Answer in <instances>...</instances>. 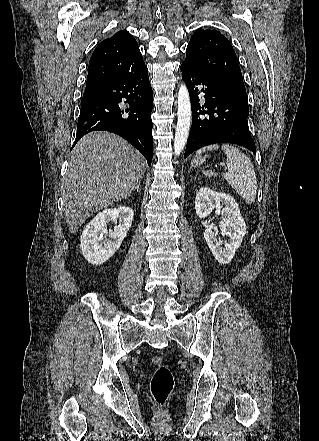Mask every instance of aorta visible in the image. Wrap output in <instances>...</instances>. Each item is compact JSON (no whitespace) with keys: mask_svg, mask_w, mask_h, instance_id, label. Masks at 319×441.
Here are the masks:
<instances>
[{"mask_svg":"<svg viewBox=\"0 0 319 441\" xmlns=\"http://www.w3.org/2000/svg\"><path fill=\"white\" fill-rule=\"evenodd\" d=\"M178 121L174 139V154L179 156L184 149L190 124H191V103L188 89L185 84H181L178 91Z\"/></svg>","mask_w":319,"mask_h":441,"instance_id":"762f6f07","label":"aorta"}]
</instances>
